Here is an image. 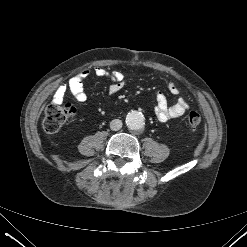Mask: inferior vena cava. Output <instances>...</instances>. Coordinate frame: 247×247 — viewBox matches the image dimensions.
I'll list each match as a JSON object with an SVG mask.
<instances>
[{"label":"inferior vena cava","mask_w":247,"mask_h":247,"mask_svg":"<svg viewBox=\"0 0 247 247\" xmlns=\"http://www.w3.org/2000/svg\"><path fill=\"white\" fill-rule=\"evenodd\" d=\"M110 128L113 131H118L122 128V121L119 119H114L110 122Z\"/></svg>","instance_id":"1"}]
</instances>
